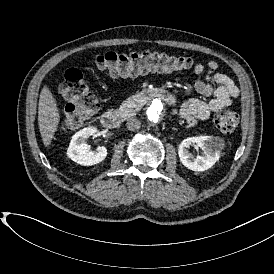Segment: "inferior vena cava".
I'll list each match as a JSON object with an SVG mask.
<instances>
[{"label":"inferior vena cava","mask_w":274,"mask_h":274,"mask_svg":"<svg viewBox=\"0 0 274 274\" xmlns=\"http://www.w3.org/2000/svg\"><path fill=\"white\" fill-rule=\"evenodd\" d=\"M141 126V122L137 118H129L126 122V127L129 130H137Z\"/></svg>","instance_id":"inferior-vena-cava-1"}]
</instances>
